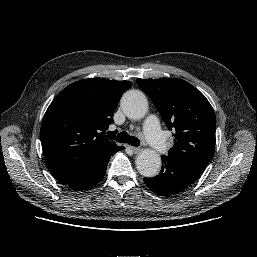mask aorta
Listing matches in <instances>:
<instances>
[{
  "label": "aorta",
  "mask_w": 257,
  "mask_h": 257,
  "mask_svg": "<svg viewBox=\"0 0 257 257\" xmlns=\"http://www.w3.org/2000/svg\"><path fill=\"white\" fill-rule=\"evenodd\" d=\"M121 108L127 117L139 120L148 111V100L142 92L131 90L123 95ZM135 163L138 172L142 176L154 177L160 170L161 158L154 150L145 149L137 155Z\"/></svg>",
  "instance_id": "aorta-1"
}]
</instances>
